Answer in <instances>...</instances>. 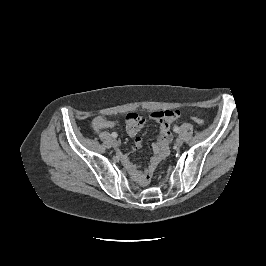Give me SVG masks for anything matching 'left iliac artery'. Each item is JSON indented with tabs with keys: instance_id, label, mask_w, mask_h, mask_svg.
<instances>
[{
	"instance_id": "obj_1",
	"label": "left iliac artery",
	"mask_w": 266,
	"mask_h": 266,
	"mask_svg": "<svg viewBox=\"0 0 266 266\" xmlns=\"http://www.w3.org/2000/svg\"><path fill=\"white\" fill-rule=\"evenodd\" d=\"M173 130H174V132L177 133V132H179V127L175 126Z\"/></svg>"
}]
</instances>
